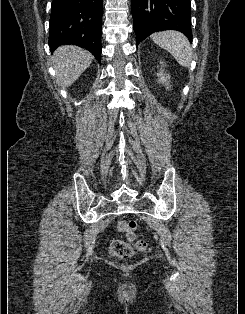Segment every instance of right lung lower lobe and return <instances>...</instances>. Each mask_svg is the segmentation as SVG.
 I'll list each match as a JSON object with an SVG mask.
<instances>
[{
    "mask_svg": "<svg viewBox=\"0 0 245 314\" xmlns=\"http://www.w3.org/2000/svg\"><path fill=\"white\" fill-rule=\"evenodd\" d=\"M103 0H53L49 20V46L86 48L100 61Z\"/></svg>",
    "mask_w": 245,
    "mask_h": 314,
    "instance_id": "right-lung-lower-lobe-1",
    "label": "right lung lower lobe"
}]
</instances>
